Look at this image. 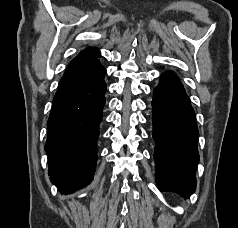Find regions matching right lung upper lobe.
I'll list each match as a JSON object with an SVG mask.
<instances>
[{
	"label": "right lung upper lobe",
	"instance_id": "cb5924a9",
	"mask_svg": "<svg viewBox=\"0 0 238 228\" xmlns=\"http://www.w3.org/2000/svg\"><path fill=\"white\" fill-rule=\"evenodd\" d=\"M99 56L100 51L94 47L82 51L70 62L58 87L86 83L101 75L105 68L98 60Z\"/></svg>",
	"mask_w": 238,
	"mask_h": 228
}]
</instances>
